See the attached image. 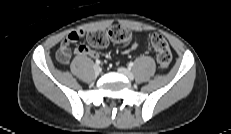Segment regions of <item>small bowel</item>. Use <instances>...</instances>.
I'll return each mask as SVG.
<instances>
[{"mask_svg": "<svg viewBox=\"0 0 231 134\" xmlns=\"http://www.w3.org/2000/svg\"><path fill=\"white\" fill-rule=\"evenodd\" d=\"M85 32L83 30H77L70 32L66 38L61 42L60 47L56 53L57 60L62 64H67L71 58L70 45L76 42L79 38L84 37ZM139 46V41L135 39L130 47L123 51L124 54H128L134 51ZM74 55L76 56H89L91 58H98L99 54L97 51L91 49L87 45H79L74 49Z\"/></svg>", "mask_w": 231, "mask_h": 134, "instance_id": "small-bowel-1", "label": "small bowel"}]
</instances>
